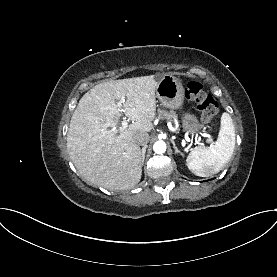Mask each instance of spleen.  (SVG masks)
I'll return each mask as SVG.
<instances>
[{"instance_id":"spleen-1","label":"spleen","mask_w":277,"mask_h":277,"mask_svg":"<svg viewBox=\"0 0 277 277\" xmlns=\"http://www.w3.org/2000/svg\"><path fill=\"white\" fill-rule=\"evenodd\" d=\"M235 148V129L231 116L224 112L215 144L197 146L187 156L188 169L197 176L209 177L221 171L231 159Z\"/></svg>"}]
</instances>
